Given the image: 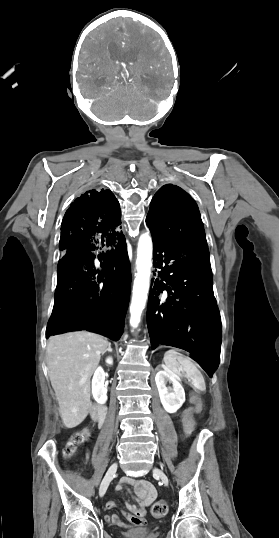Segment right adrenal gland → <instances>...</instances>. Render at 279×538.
<instances>
[{"label":"right adrenal gland","instance_id":"right-adrenal-gland-1","mask_svg":"<svg viewBox=\"0 0 279 538\" xmlns=\"http://www.w3.org/2000/svg\"><path fill=\"white\" fill-rule=\"evenodd\" d=\"M108 350H109V352H112L111 344H109Z\"/></svg>","mask_w":279,"mask_h":538}]
</instances>
